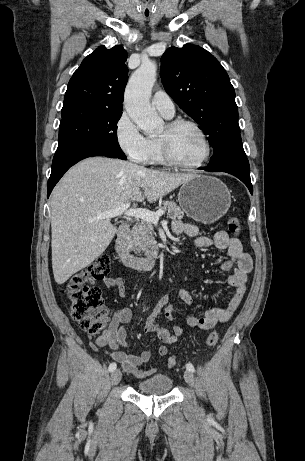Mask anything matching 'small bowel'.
I'll list each match as a JSON object with an SVG mask.
<instances>
[{"label": "small bowel", "mask_w": 305, "mask_h": 461, "mask_svg": "<svg viewBox=\"0 0 305 461\" xmlns=\"http://www.w3.org/2000/svg\"><path fill=\"white\" fill-rule=\"evenodd\" d=\"M172 230L176 235L186 234L194 238L193 246L195 248L216 247L227 251L228 259L221 264V271L227 272L236 266L227 277L228 284L234 288L228 305L224 308L207 310L202 316H187L186 320L190 328L213 329L217 324L229 320L239 307L246 293L247 275L252 270V259L243 250L241 241L236 237H230L225 231H218L213 237L199 236V229L196 225L180 220L173 221ZM103 284L108 289L115 288L119 297H124L127 293L126 283L121 277H106ZM178 295L186 304L193 303V297L188 291L179 289ZM174 310L175 306L170 303V291H168L160 297L145 321V332L155 334L162 343L157 350V355L160 358L167 355V346L174 344L177 338L184 334V329L180 326L172 325L171 329H168L159 322L160 316L163 315L167 321L172 323ZM131 319L132 312L128 307H121L112 316H107V325L98 337L97 344L102 347H109L111 349L110 357L118 362L125 372L136 378L144 379L156 372V368H142L150 361V353L142 351L138 354H127L120 350V347L129 348L125 325Z\"/></svg>", "instance_id": "c3829d8e"}]
</instances>
